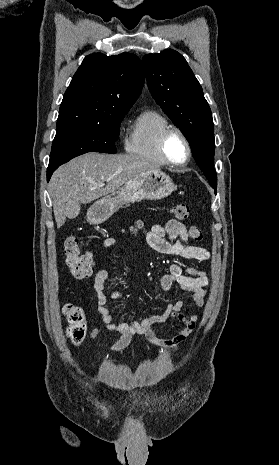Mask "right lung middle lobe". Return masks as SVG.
Wrapping results in <instances>:
<instances>
[{
	"label": "right lung middle lobe",
	"instance_id": "right-lung-middle-lobe-1",
	"mask_svg": "<svg viewBox=\"0 0 279 465\" xmlns=\"http://www.w3.org/2000/svg\"><path fill=\"white\" fill-rule=\"evenodd\" d=\"M129 109L113 110L100 122H80L57 127L49 166H58L87 152L116 153L119 126Z\"/></svg>",
	"mask_w": 279,
	"mask_h": 465
}]
</instances>
